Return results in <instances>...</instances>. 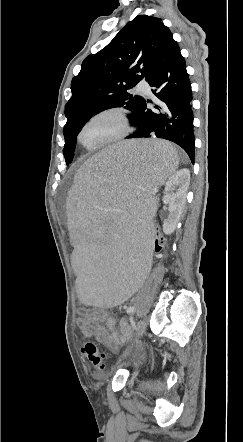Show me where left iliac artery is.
Segmentation results:
<instances>
[{"label":"left iliac artery","mask_w":243,"mask_h":442,"mask_svg":"<svg viewBox=\"0 0 243 442\" xmlns=\"http://www.w3.org/2000/svg\"><path fill=\"white\" fill-rule=\"evenodd\" d=\"M126 312H127L128 314H133V313L135 312V307H133V306L128 307L127 310H126ZM137 327H138V326H136V325L133 323V328H134L135 330H137Z\"/></svg>","instance_id":"left-iliac-artery-1"}]
</instances>
